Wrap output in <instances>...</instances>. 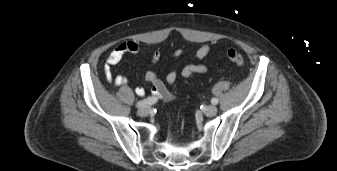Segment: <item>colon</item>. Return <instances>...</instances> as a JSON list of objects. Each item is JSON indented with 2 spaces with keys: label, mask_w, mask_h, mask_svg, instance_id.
I'll list each match as a JSON object with an SVG mask.
<instances>
[{
  "label": "colon",
  "mask_w": 337,
  "mask_h": 171,
  "mask_svg": "<svg viewBox=\"0 0 337 171\" xmlns=\"http://www.w3.org/2000/svg\"><path fill=\"white\" fill-rule=\"evenodd\" d=\"M228 59L236 65H243L244 64V56L241 52L230 49L227 51Z\"/></svg>",
  "instance_id": "colon-1"
}]
</instances>
